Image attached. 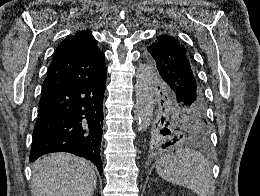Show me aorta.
<instances>
[{"label": "aorta", "mask_w": 260, "mask_h": 196, "mask_svg": "<svg viewBox=\"0 0 260 196\" xmlns=\"http://www.w3.org/2000/svg\"><path fill=\"white\" fill-rule=\"evenodd\" d=\"M135 88L139 130L144 131L154 111L153 71L149 64H141L139 66Z\"/></svg>", "instance_id": "obj_1"}]
</instances>
